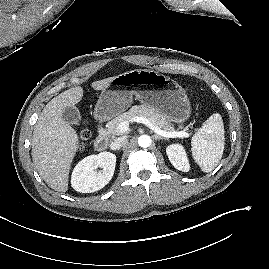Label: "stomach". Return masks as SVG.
<instances>
[{
  "label": "stomach",
  "instance_id": "0dacf381",
  "mask_svg": "<svg viewBox=\"0 0 269 269\" xmlns=\"http://www.w3.org/2000/svg\"><path fill=\"white\" fill-rule=\"evenodd\" d=\"M133 95L169 122L182 124L191 115L187 93L177 82L153 70L135 69L115 76L102 90L94 109L95 118L107 121L118 116L131 105Z\"/></svg>",
  "mask_w": 269,
  "mask_h": 269
}]
</instances>
